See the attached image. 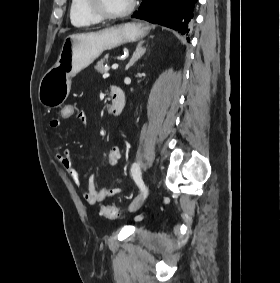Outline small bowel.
Wrapping results in <instances>:
<instances>
[{"label": "small bowel", "instance_id": "c3829d8e", "mask_svg": "<svg viewBox=\"0 0 280 283\" xmlns=\"http://www.w3.org/2000/svg\"><path fill=\"white\" fill-rule=\"evenodd\" d=\"M75 119L81 123L85 124L87 121V116L84 112L78 111L75 112ZM51 128H59L61 125L60 118H53L50 120ZM121 151L118 146H113L109 152L108 160L111 165H115L120 159ZM55 158L60 162L66 173L70 176V178L76 183H80V175L76 170L74 160L72 158L71 152L69 149H64L62 151H58L55 153ZM118 180L110 183L107 186L102 188H97L96 179L93 174H90L87 178V189L83 193V197L85 201L90 205H96L106 198L118 194L120 189L116 187Z\"/></svg>", "mask_w": 280, "mask_h": 283}]
</instances>
